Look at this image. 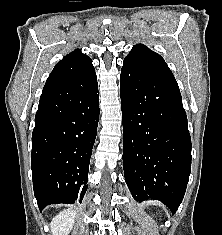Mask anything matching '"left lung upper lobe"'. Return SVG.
Listing matches in <instances>:
<instances>
[{"instance_id":"left-lung-upper-lobe-1","label":"left lung upper lobe","mask_w":222,"mask_h":235,"mask_svg":"<svg viewBox=\"0 0 222 235\" xmlns=\"http://www.w3.org/2000/svg\"><path fill=\"white\" fill-rule=\"evenodd\" d=\"M125 60L136 62L174 78L164 59L143 44L133 46Z\"/></svg>"}]
</instances>
